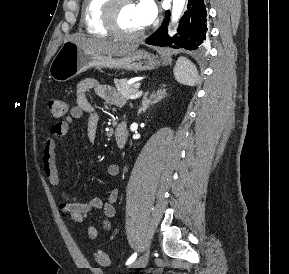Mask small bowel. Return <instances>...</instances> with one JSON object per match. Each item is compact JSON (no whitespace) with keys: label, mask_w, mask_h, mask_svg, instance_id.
<instances>
[{"label":"small bowel","mask_w":289,"mask_h":274,"mask_svg":"<svg viewBox=\"0 0 289 274\" xmlns=\"http://www.w3.org/2000/svg\"><path fill=\"white\" fill-rule=\"evenodd\" d=\"M92 91L108 103L116 105L122 103L121 97L113 87L101 84L93 78L80 81L76 88V105L70 109V115L64 121L54 125L51 136L44 142L42 166L50 184L56 189L61 199L60 208L63 212L69 214L72 223H81L91 212L100 211L102 213V225L105 229H109L110 219L115 215L114 204L118 199V189H112L105 200L95 197L82 201L62 187L61 175L56 159L57 142L68 134L73 121L82 119L85 114L88 115L87 139L90 143L95 142L98 129V115L89 100V93ZM106 173L110 177H116L120 173V168L117 164H110L106 168ZM87 235L90 240L96 239L98 236L97 226L90 225L87 229Z\"/></svg>","instance_id":"small-bowel-1"}]
</instances>
